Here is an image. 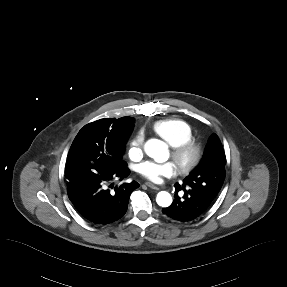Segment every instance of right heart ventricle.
I'll return each mask as SVG.
<instances>
[{
	"mask_svg": "<svg viewBox=\"0 0 287 287\" xmlns=\"http://www.w3.org/2000/svg\"><path fill=\"white\" fill-rule=\"evenodd\" d=\"M152 131L172 148L193 139L190 124L180 118H167L156 121L152 125Z\"/></svg>",
	"mask_w": 287,
	"mask_h": 287,
	"instance_id": "right-heart-ventricle-1",
	"label": "right heart ventricle"
}]
</instances>
